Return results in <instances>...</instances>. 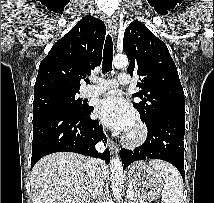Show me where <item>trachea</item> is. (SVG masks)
Returning a JSON list of instances; mask_svg holds the SVG:
<instances>
[{"mask_svg": "<svg viewBox=\"0 0 214 203\" xmlns=\"http://www.w3.org/2000/svg\"><path fill=\"white\" fill-rule=\"evenodd\" d=\"M112 59H113V42L111 36L108 34L105 40L103 50V64H102L103 74L112 70Z\"/></svg>", "mask_w": 214, "mask_h": 203, "instance_id": "3493384b", "label": "trachea"}]
</instances>
